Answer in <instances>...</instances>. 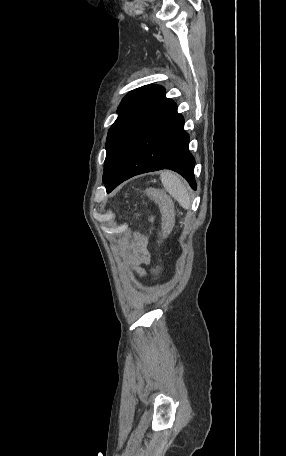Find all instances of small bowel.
Segmentation results:
<instances>
[{"label":"small bowel","mask_w":286,"mask_h":456,"mask_svg":"<svg viewBox=\"0 0 286 456\" xmlns=\"http://www.w3.org/2000/svg\"><path fill=\"white\" fill-rule=\"evenodd\" d=\"M129 247L130 252L127 257L128 264L131 265L138 275L145 276L146 273L143 266L148 265L151 261V254L147 247L146 236L137 233Z\"/></svg>","instance_id":"small-bowel-1"}]
</instances>
